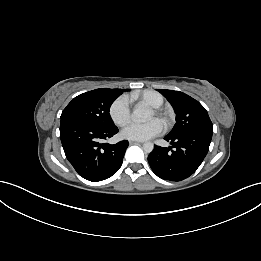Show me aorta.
Returning <instances> with one entry per match:
<instances>
[{
	"label": "aorta",
	"instance_id": "obj_1",
	"mask_svg": "<svg viewBox=\"0 0 261 261\" xmlns=\"http://www.w3.org/2000/svg\"><path fill=\"white\" fill-rule=\"evenodd\" d=\"M151 117L149 110L143 107H136L132 112V119L137 122L146 121ZM154 149V145L151 142H146L143 144V150L146 153H151Z\"/></svg>",
	"mask_w": 261,
	"mask_h": 261
}]
</instances>
